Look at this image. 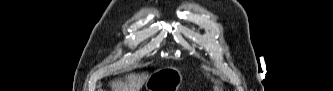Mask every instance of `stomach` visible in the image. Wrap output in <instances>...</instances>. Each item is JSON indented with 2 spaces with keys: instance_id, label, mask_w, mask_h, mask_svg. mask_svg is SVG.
Wrapping results in <instances>:
<instances>
[{
  "instance_id": "stomach-1",
  "label": "stomach",
  "mask_w": 333,
  "mask_h": 91,
  "mask_svg": "<svg viewBox=\"0 0 333 91\" xmlns=\"http://www.w3.org/2000/svg\"><path fill=\"white\" fill-rule=\"evenodd\" d=\"M183 82V76L175 67L160 68L151 73L145 84V91H178Z\"/></svg>"
}]
</instances>
